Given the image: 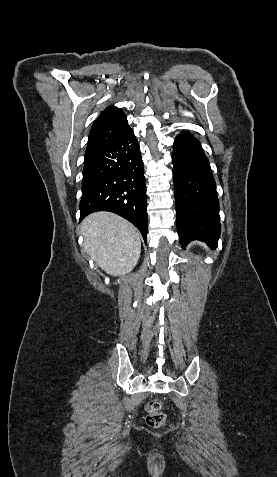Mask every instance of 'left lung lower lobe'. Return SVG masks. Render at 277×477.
<instances>
[{
    "label": "left lung lower lobe",
    "mask_w": 277,
    "mask_h": 477,
    "mask_svg": "<svg viewBox=\"0 0 277 477\" xmlns=\"http://www.w3.org/2000/svg\"><path fill=\"white\" fill-rule=\"evenodd\" d=\"M177 230L185 247L193 240L217 246L220 236L216 185L200 142L189 132L179 134L172 154Z\"/></svg>",
    "instance_id": "obj_1"
}]
</instances>
